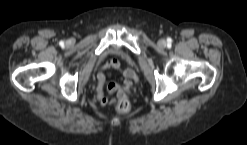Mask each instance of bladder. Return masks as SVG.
Instances as JSON below:
<instances>
[{
    "mask_svg": "<svg viewBox=\"0 0 247 145\" xmlns=\"http://www.w3.org/2000/svg\"><path fill=\"white\" fill-rule=\"evenodd\" d=\"M109 53L110 54H119L121 52L119 50H111Z\"/></svg>",
    "mask_w": 247,
    "mask_h": 145,
    "instance_id": "31cf9c89",
    "label": "bladder"
}]
</instances>
